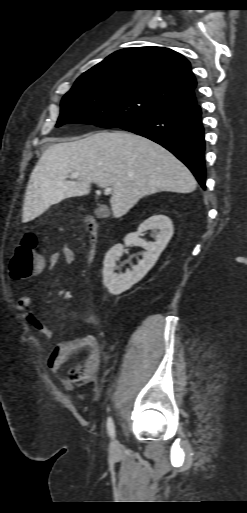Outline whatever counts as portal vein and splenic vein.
Returning a JSON list of instances; mask_svg holds the SVG:
<instances>
[{
    "mask_svg": "<svg viewBox=\"0 0 247 513\" xmlns=\"http://www.w3.org/2000/svg\"><path fill=\"white\" fill-rule=\"evenodd\" d=\"M79 176H80V174H79V173H71V174H70V177H71V178H77V177H79ZM100 187H104V188H105V189H104V194H105V195H108V194L111 192V190H112V188H111V187H105V186H100Z\"/></svg>",
    "mask_w": 247,
    "mask_h": 513,
    "instance_id": "18ae733b",
    "label": "portal vein and splenic vein"
}]
</instances>
